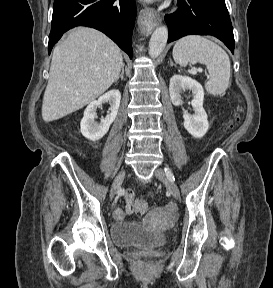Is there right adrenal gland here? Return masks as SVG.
<instances>
[{"label":"right adrenal gland","mask_w":273,"mask_h":288,"mask_svg":"<svg viewBox=\"0 0 273 288\" xmlns=\"http://www.w3.org/2000/svg\"><path fill=\"white\" fill-rule=\"evenodd\" d=\"M119 78H121V80L124 79V65L122 66L121 74L117 77V79L115 80V82H117V81L119 80Z\"/></svg>","instance_id":"obj_1"}]
</instances>
